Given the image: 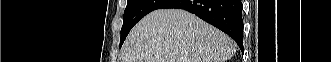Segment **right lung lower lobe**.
<instances>
[{
    "instance_id": "1",
    "label": "right lung lower lobe",
    "mask_w": 331,
    "mask_h": 62,
    "mask_svg": "<svg viewBox=\"0 0 331 62\" xmlns=\"http://www.w3.org/2000/svg\"><path fill=\"white\" fill-rule=\"evenodd\" d=\"M163 8L189 11L231 36L243 50L241 0H172Z\"/></svg>"
}]
</instances>
